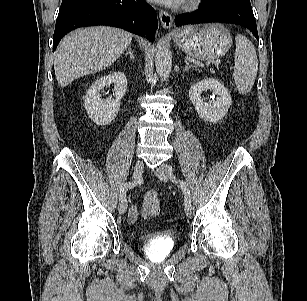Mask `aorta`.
Masks as SVG:
<instances>
[{
  "instance_id": "aorta-1",
  "label": "aorta",
  "mask_w": 307,
  "mask_h": 301,
  "mask_svg": "<svg viewBox=\"0 0 307 301\" xmlns=\"http://www.w3.org/2000/svg\"><path fill=\"white\" fill-rule=\"evenodd\" d=\"M155 66L159 77L168 78L172 67V54L168 42L160 39L155 49Z\"/></svg>"
}]
</instances>
